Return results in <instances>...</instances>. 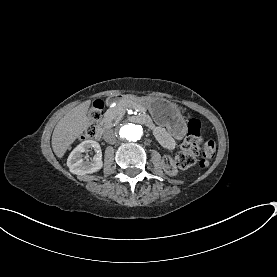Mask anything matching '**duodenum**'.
I'll return each instance as SVG.
<instances>
[{
  "instance_id": "duodenum-1",
  "label": "duodenum",
  "mask_w": 277,
  "mask_h": 277,
  "mask_svg": "<svg viewBox=\"0 0 277 277\" xmlns=\"http://www.w3.org/2000/svg\"><path fill=\"white\" fill-rule=\"evenodd\" d=\"M125 99H127L126 95H114L108 99L107 104L112 105L116 102H119V101H122ZM130 120L134 123L146 125V126L150 127L154 132H156L158 129V127H156L153 124L151 119L148 116L143 115V114L132 116L130 118ZM105 129H106V127L104 124H101L98 126L97 133H96L97 139H100L103 136Z\"/></svg>"
}]
</instances>
